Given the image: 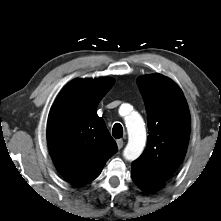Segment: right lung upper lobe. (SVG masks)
<instances>
[{
	"mask_svg": "<svg viewBox=\"0 0 221 221\" xmlns=\"http://www.w3.org/2000/svg\"><path fill=\"white\" fill-rule=\"evenodd\" d=\"M110 78L75 80L56 99L48 118L52 160L69 182L84 185L98 177L117 145L97 115V106L112 87Z\"/></svg>",
	"mask_w": 221,
	"mask_h": 221,
	"instance_id": "1",
	"label": "right lung upper lobe"
}]
</instances>
